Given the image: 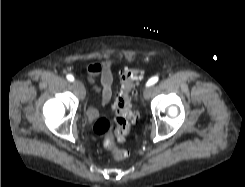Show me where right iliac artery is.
<instances>
[{"instance_id":"right-iliac-artery-1","label":"right iliac artery","mask_w":245,"mask_h":187,"mask_svg":"<svg viewBox=\"0 0 245 187\" xmlns=\"http://www.w3.org/2000/svg\"><path fill=\"white\" fill-rule=\"evenodd\" d=\"M66 78H67V80L70 81V82H73V81H74V77H73V75H71V74H68V75L66 76Z\"/></svg>"}]
</instances>
